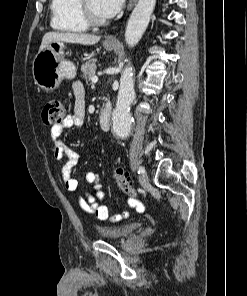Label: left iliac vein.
Instances as JSON below:
<instances>
[{
  "label": "left iliac vein",
  "instance_id": "left-iliac-vein-1",
  "mask_svg": "<svg viewBox=\"0 0 247 296\" xmlns=\"http://www.w3.org/2000/svg\"><path fill=\"white\" fill-rule=\"evenodd\" d=\"M139 180L143 186H147L149 184L148 176L145 171L143 173H141Z\"/></svg>",
  "mask_w": 247,
  "mask_h": 296
}]
</instances>
